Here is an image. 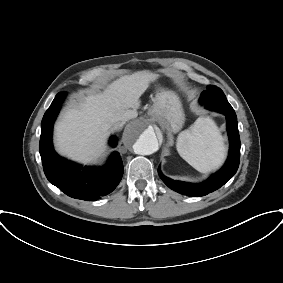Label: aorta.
<instances>
[{
    "label": "aorta",
    "instance_id": "obj_1",
    "mask_svg": "<svg viewBox=\"0 0 283 283\" xmlns=\"http://www.w3.org/2000/svg\"><path fill=\"white\" fill-rule=\"evenodd\" d=\"M123 141L140 155H150L159 149L155 129L146 121L131 123L123 134Z\"/></svg>",
    "mask_w": 283,
    "mask_h": 283
}]
</instances>
